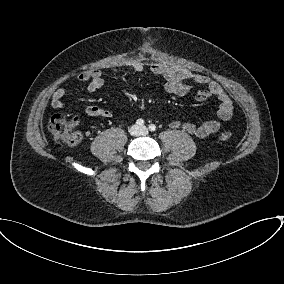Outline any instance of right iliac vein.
Returning a JSON list of instances; mask_svg holds the SVG:
<instances>
[{
	"mask_svg": "<svg viewBox=\"0 0 284 284\" xmlns=\"http://www.w3.org/2000/svg\"><path fill=\"white\" fill-rule=\"evenodd\" d=\"M139 131H140V128L137 125L132 126L131 129H130V133L132 135H137L139 133Z\"/></svg>",
	"mask_w": 284,
	"mask_h": 284,
	"instance_id": "1",
	"label": "right iliac vein"
}]
</instances>
